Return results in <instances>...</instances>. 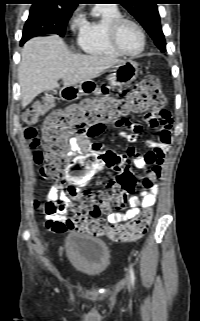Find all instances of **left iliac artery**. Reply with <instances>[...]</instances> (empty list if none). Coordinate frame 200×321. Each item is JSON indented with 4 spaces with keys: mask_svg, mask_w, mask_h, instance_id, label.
<instances>
[{
    "mask_svg": "<svg viewBox=\"0 0 200 321\" xmlns=\"http://www.w3.org/2000/svg\"><path fill=\"white\" fill-rule=\"evenodd\" d=\"M129 272H130L131 284H132V286L134 287L135 275H134V271H133L132 265H130Z\"/></svg>",
    "mask_w": 200,
    "mask_h": 321,
    "instance_id": "left-iliac-artery-1",
    "label": "left iliac artery"
}]
</instances>
